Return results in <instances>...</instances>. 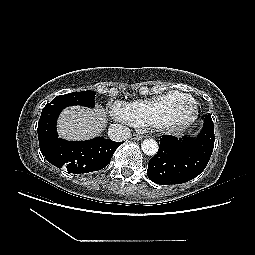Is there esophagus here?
Segmentation results:
<instances>
[{
  "mask_svg": "<svg viewBox=\"0 0 255 255\" xmlns=\"http://www.w3.org/2000/svg\"><path fill=\"white\" fill-rule=\"evenodd\" d=\"M142 138H143L142 135H138V134H132L131 135V140H134V141L142 140Z\"/></svg>",
  "mask_w": 255,
  "mask_h": 255,
  "instance_id": "1",
  "label": "esophagus"
}]
</instances>
